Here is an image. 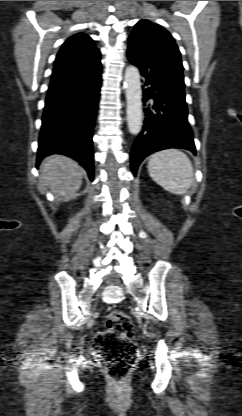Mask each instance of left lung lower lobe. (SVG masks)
Instances as JSON below:
<instances>
[{
    "mask_svg": "<svg viewBox=\"0 0 242 416\" xmlns=\"http://www.w3.org/2000/svg\"><path fill=\"white\" fill-rule=\"evenodd\" d=\"M127 55L139 68L146 86L143 89V130L134 141L130 155L131 169L136 176L138 166L146 156L167 148L195 153V145L187 118L184 85L151 51L129 41Z\"/></svg>",
    "mask_w": 242,
    "mask_h": 416,
    "instance_id": "1",
    "label": "left lung lower lobe"
}]
</instances>
